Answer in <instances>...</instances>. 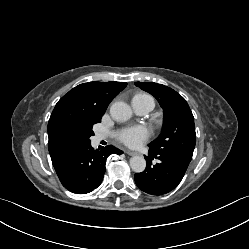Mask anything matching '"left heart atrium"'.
I'll return each instance as SVG.
<instances>
[{"label": "left heart atrium", "instance_id": "39dd6f15", "mask_svg": "<svg viewBox=\"0 0 249 249\" xmlns=\"http://www.w3.org/2000/svg\"><path fill=\"white\" fill-rule=\"evenodd\" d=\"M149 137V131L144 126L127 127L117 133V139L130 147L141 145Z\"/></svg>", "mask_w": 249, "mask_h": 249}]
</instances>
